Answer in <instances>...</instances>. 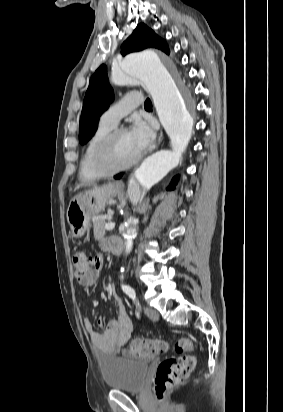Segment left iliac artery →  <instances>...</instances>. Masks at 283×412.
Returning <instances> with one entry per match:
<instances>
[{"mask_svg": "<svg viewBox=\"0 0 283 412\" xmlns=\"http://www.w3.org/2000/svg\"><path fill=\"white\" fill-rule=\"evenodd\" d=\"M123 291L133 300V302L137 305L136 293L135 290L130 287L129 285L122 284ZM137 317H139V313L136 312Z\"/></svg>", "mask_w": 283, "mask_h": 412, "instance_id": "obj_1", "label": "left iliac artery"}]
</instances>
